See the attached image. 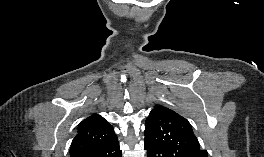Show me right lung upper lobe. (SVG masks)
Here are the masks:
<instances>
[{
  "label": "right lung upper lobe",
  "mask_w": 264,
  "mask_h": 157,
  "mask_svg": "<svg viewBox=\"0 0 264 157\" xmlns=\"http://www.w3.org/2000/svg\"><path fill=\"white\" fill-rule=\"evenodd\" d=\"M117 139L112 126L100 115L93 114L78 125L72 141L70 157H86Z\"/></svg>",
  "instance_id": "cb5924a9"
}]
</instances>
